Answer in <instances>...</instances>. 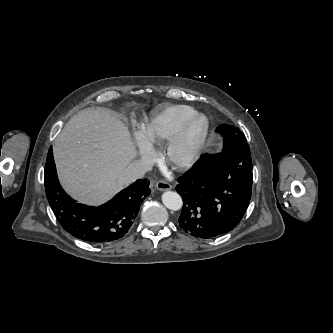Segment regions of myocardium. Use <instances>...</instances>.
Masks as SVG:
<instances>
[{"label": "myocardium", "mask_w": 333, "mask_h": 333, "mask_svg": "<svg viewBox=\"0 0 333 333\" xmlns=\"http://www.w3.org/2000/svg\"><path fill=\"white\" fill-rule=\"evenodd\" d=\"M200 122V129L195 137L190 136L192 126ZM208 117L200 112L188 116L169 140L166 157L168 163L176 170L190 168L198 159L209 134Z\"/></svg>", "instance_id": "myocardium-1"}]
</instances>
